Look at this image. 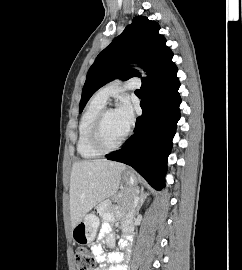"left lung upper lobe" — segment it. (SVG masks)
<instances>
[{
  "mask_svg": "<svg viewBox=\"0 0 242 270\" xmlns=\"http://www.w3.org/2000/svg\"><path fill=\"white\" fill-rule=\"evenodd\" d=\"M159 29L155 21L143 16L135 17L132 24L99 53L87 73L79 113L90 97L106 83L116 78L127 80L134 76L140 77V73L132 69L129 62L140 64L149 77L156 68L172 59L173 53L166 46L165 38L158 33Z\"/></svg>",
  "mask_w": 242,
  "mask_h": 270,
  "instance_id": "obj_1",
  "label": "left lung upper lobe"
}]
</instances>
